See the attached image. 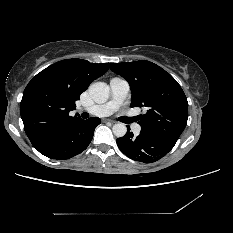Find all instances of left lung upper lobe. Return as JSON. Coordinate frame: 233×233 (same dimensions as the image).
<instances>
[{"mask_svg":"<svg viewBox=\"0 0 233 233\" xmlns=\"http://www.w3.org/2000/svg\"><path fill=\"white\" fill-rule=\"evenodd\" d=\"M109 66L129 82L131 106L147 108L138 122L141 131L177 141L188 119L187 98L178 82L164 69L146 60L110 63Z\"/></svg>","mask_w":233,"mask_h":233,"instance_id":"obj_1","label":"left lung upper lobe"}]
</instances>
